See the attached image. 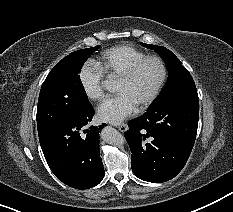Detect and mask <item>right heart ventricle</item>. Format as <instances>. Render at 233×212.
Masks as SVG:
<instances>
[{
	"label": "right heart ventricle",
	"mask_w": 233,
	"mask_h": 212,
	"mask_svg": "<svg viewBox=\"0 0 233 212\" xmlns=\"http://www.w3.org/2000/svg\"><path fill=\"white\" fill-rule=\"evenodd\" d=\"M144 56V51L133 46L118 45L104 51L96 65L108 76H120L133 62Z\"/></svg>",
	"instance_id": "e07e8e85"
}]
</instances>
